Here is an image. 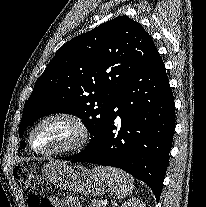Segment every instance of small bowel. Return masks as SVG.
Returning a JSON list of instances; mask_svg holds the SVG:
<instances>
[{
    "mask_svg": "<svg viewBox=\"0 0 206 207\" xmlns=\"http://www.w3.org/2000/svg\"><path fill=\"white\" fill-rule=\"evenodd\" d=\"M51 202L53 207H81L79 201L72 197H54Z\"/></svg>",
    "mask_w": 206,
    "mask_h": 207,
    "instance_id": "1",
    "label": "small bowel"
}]
</instances>
